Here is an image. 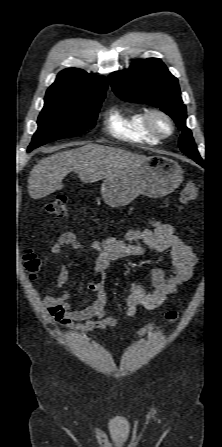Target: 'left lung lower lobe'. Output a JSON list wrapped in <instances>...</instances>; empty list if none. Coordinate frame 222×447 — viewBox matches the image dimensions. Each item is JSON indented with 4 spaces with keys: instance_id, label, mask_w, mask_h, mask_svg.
<instances>
[{
    "instance_id": "left-lung-lower-lobe-1",
    "label": "left lung lower lobe",
    "mask_w": 222,
    "mask_h": 447,
    "mask_svg": "<svg viewBox=\"0 0 222 447\" xmlns=\"http://www.w3.org/2000/svg\"><path fill=\"white\" fill-rule=\"evenodd\" d=\"M195 162H197L199 165L203 166L204 161L201 158H193Z\"/></svg>"
}]
</instances>
